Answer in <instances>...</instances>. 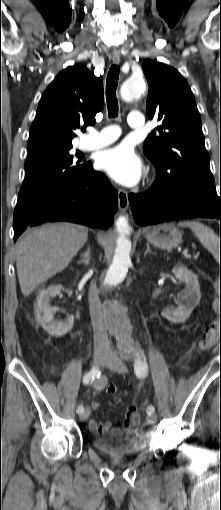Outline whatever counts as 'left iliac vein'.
<instances>
[{"label":"left iliac vein","mask_w":221,"mask_h":510,"mask_svg":"<svg viewBox=\"0 0 221 510\" xmlns=\"http://www.w3.org/2000/svg\"><path fill=\"white\" fill-rule=\"evenodd\" d=\"M126 357H133V354H126ZM103 365L109 367L111 370L117 373H125L127 371L126 365L122 362V360L114 353H110L108 359L103 363ZM146 421L149 425H154L157 422V417L155 414L147 415Z\"/></svg>","instance_id":"4c4485c4"}]
</instances>
